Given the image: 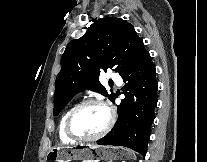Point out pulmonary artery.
<instances>
[{
  "instance_id": "obj_1",
  "label": "pulmonary artery",
  "mask_w": 207,
  "mask_h": 162,
  "mask_svg": "<svg viewBox=\"0 0 207 162\" xmlns=\"http://www.w3.org/2000/svg\"><path fill=\"white\" fill-rule=\"evenodd\" d=\"M112 77H113L115 83L117 84V86H121L122 85V79L120 78L119 75L112 74Z\"/></svg>"
}]
</instances>
